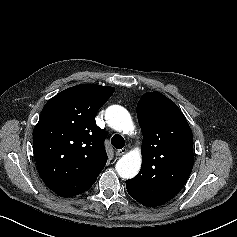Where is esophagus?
<instances>
[{"instance_id":"1","label":"esophagus","mask_w":237,"mask_h":237,"mask_svg":"<svg viewBox=\"0 0 237 237\" xmlns=\"http://www.w3.org/2000/svg\"><path fill=\"white\" fill-rule=\"evenodd\" d=\"M126 152H127V149L123 148V149L117 150L116 155L122 156V155L126 154Z\"/></svg>"}]
</instances>
